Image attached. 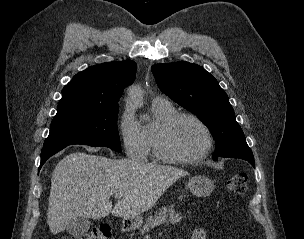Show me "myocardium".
Returning a JSON list of instances; mask_svg holds the SVG:
<instances>
[{"label":"myocardium","mask_w":304,"mask_h":239,"mask_svg":"<svg viewBox=\"0 0 304 239\" xmlns=\"http://www.w3.org/2000/svg\"><path fill=\"white\" fill-rule=\"evenodd\" d=\"M188 118L196 122L203 130L206 138V144L203 150L193 156L182 157L174 155L168 147V139L173 127L182 119ZM213 148V136L208 125L197 115L190 112H176L170 116L160 127L155 149L161 161L171 164H193L203 160Z\"/></svg>","instance_id":"obj_1"}]
</instances>
